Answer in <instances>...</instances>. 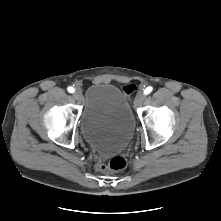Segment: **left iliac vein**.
Instances as JSON below:
<instances>
[{
    "label": "left iliac vein",
    "mask_w": 221,
    "mask_h": 221,
    "mask_svg": "<svg viewBox=\"0 0 221 221\" xmlns=\"http://www.w3.org/2000/svg\"><path fill=\"white\" fill-rule=\"evenodd\" d=\"M146 94L143 91H139L135 98V105L140 106L144 102Z\"/></svg>",
    "instance_id": "obj_1"
}]
</instances>
